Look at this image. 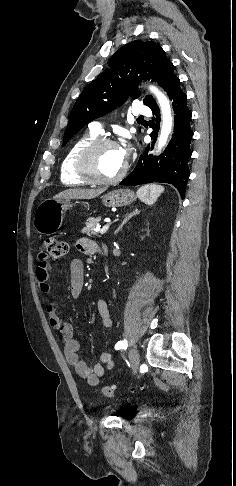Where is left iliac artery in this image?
<instances>
[{
  "instance_id": "44dca946",
  "label": "left iliac artery",
  "mask_w": 236,
  "mask_h": 486,
  "mask_svg": "<svg viewBox=\"0 0 236 486\" xmlns=\"http://www.w3.org/2000/svg\"><path fill=\"white\" fill-rule=\"evenodd\" d=\"M127 347V341L126 340H123V341H119L116 345H115V349L116 350H119V349H122V348H126Z\"/></svg>"
}]
</instances>
